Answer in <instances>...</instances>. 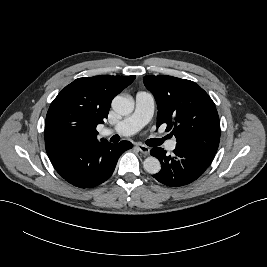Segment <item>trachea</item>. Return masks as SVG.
<instances>
[{
  "label": "trachea",
  "mask_w": 267,
  "mask_h": 267,
  "mask_svg": "<svg viewBox=\"0 0 267 267\" xmlns=\"http://www.w3.org/2000/svg\"><path fill=\"white\" fill-rule=\"evenodd\" d=\"M164 139H165V138H163V139H155L154 142H155L157 145H159V144H161V143L164 141Z\"/></svg>",
  "instance_id": "trachea-1"
}]
</instances>
